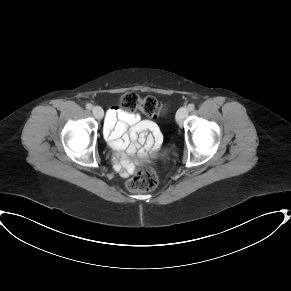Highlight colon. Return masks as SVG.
Instances as JSON below:
<instances>
[{"label":"colon","instance_id":"obj_1","mask_svg":"<svg viewBox=\"0 0 291 291\" xmlns=\"http://www.w3.org/2000/svg\"><path fill=\"white\" fill-rule=\"evenodd\" d=\"M121 106L126 111L140 110L149 117H159L164 112L162 104L152 96L140 97L136 93H127L121 99ZM158 177L154 170L140 166L134 177L128 181L127 188L135 193H144L155 189Z\"/></svg>","mask_w":291,"mask_h":291}]
</instances>
